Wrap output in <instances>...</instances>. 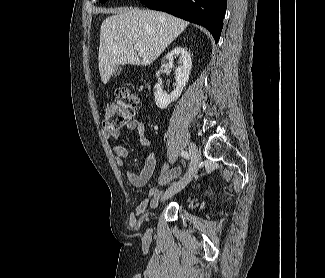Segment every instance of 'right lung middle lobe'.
<instances>
[{
	"instance_id": "obj_1",
	"label": "right lung middle lobe",
	"mask_w": 325,
	"mask_h": 278,
	"mask_svg": "<svg viewBox=\"0 0 325 278\" xmlns=\"http://www.w3.org/2000/svg\"><path fill=\"white\" fill-rule=\"evenodd\" d=\"M107 0H99V2L101 3H105Z\"/></svg>"
}]
</instances>
